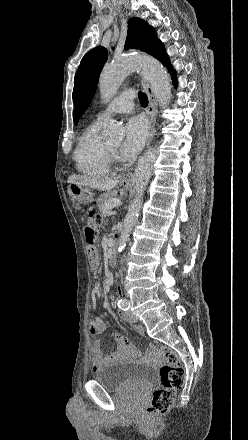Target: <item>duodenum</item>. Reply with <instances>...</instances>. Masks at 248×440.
I'll return each instance as SVG.
<instances>
[{
  "label": "duodenum",
  "instance_id": "1",
  "mask_svg": "<svg viewBox=\"0 0 248 440\" xmlns=\"http://www.w3.org/2000/svg\"><path fill=\"white\" fill-rule=\"evenodd\" d=\"M109 261L113 262L115 256H116V240H112L110 244V250H109Z\"/></svg>",
  "mask_w": 248,
  "mask_h": 440
}]
</instances>
